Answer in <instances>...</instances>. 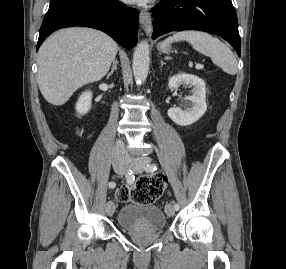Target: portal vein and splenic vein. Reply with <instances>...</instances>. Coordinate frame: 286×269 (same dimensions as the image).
Here are the masks:
<instances>
[{
    "label": "portal vein and splenic vein",
    "instance_id": "obj_1",
    "mask_svg": "<svg viewBox=\"0 0 286 269\" xmlns=\"http://www.w3.org/2000/svg\"><path fill=\"white\" fill-rule=\"evenodd\" d=\"M202 68H203L202 64H200V63L196 64V69H202Z\"/></svg>",
    "mask_w": 286,
    "mask_h": 269
}]
</instances>
